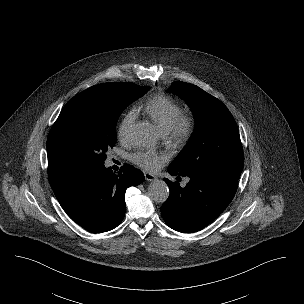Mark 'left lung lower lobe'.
Returning <instances> with one entry per match:
<instances>
[{
	"label": "left lung lower lobe",
	"instance_id": "left-lung-lower-lobe-1",
	"mask_svg": "<svg viewBox=\"0 0 304 304\" xmlns=\"http://www.w3.org/2000/svg\"><path fill=\"white\" fill-rule=\"evenodd\" d=\"M168 172L184 176L171 167ZM188 177L190 181L184 188L178 182L164 179L170 195L161 207V214L169 227L182 233L199 231L215 220L232 201L238 186L237 180L219 175Z\"/></svg>",
	"mask_w": 304,
	"mask_h": 304
}]
</instances>
